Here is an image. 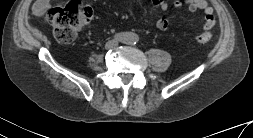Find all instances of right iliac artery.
I'll return each instance as SVG.
<instances>
[{
    "label": "right iliac artery",
    "mask_w": 253,
    "mask_h": 138,
    "mask_svg": "<svg viewBox=\"0 0 253 138\" xmlns=\"http://www.w3.org/2000/svg\"><path fill=\"white\" fill-rule=\"evenodd\" d=\"M121 38H122V35H120V34H116V35H115V39H116V40H120Z\"/></svg>",
    "instance_id": "82829eb1"
}]
</instances>
